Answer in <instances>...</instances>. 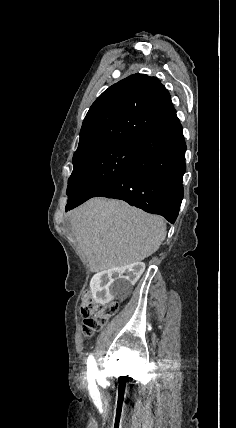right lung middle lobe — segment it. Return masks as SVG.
<instances>
[{
    "mask_svg": "<svg viewBox=\"0 0 236 428\" xmlns=\"http://www.w3.org/2000/svg\"><path fill=\"white\" fill-rule=\"evenodd\" d=\"M139 140H126L73 163L68 180V211L112 183L137 154Z\"/></svg>",
    "mask_w": 236,
    "mask_h": 428,
    "instance_id": "obj_1",
    "label": "right lung middle lobe"
}]
</instances>
